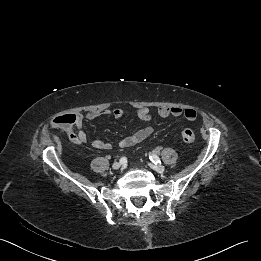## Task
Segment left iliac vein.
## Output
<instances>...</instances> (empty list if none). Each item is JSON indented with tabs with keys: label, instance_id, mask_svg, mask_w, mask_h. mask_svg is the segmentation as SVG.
Instances as JSON below:
<instances>
[{
	"label": "left iliac vein",
	"instance_id": "left-iliac-vein-1",
	"mask_svg": "<svg viewBox=\"0 0 261 261\" xmlns=\"http://www.w3.org/2000/svg\"><path fill=\"white\" fill-rule=\"evenodd\" d=\"M149 166H150L153 170H155L156 172H158V173H164V171H165V167H164V166L155 165V164H153V163H149Z\"/></svg>",
	"mask_w": 261,
	"mask_h": 261
}]
</instances>
